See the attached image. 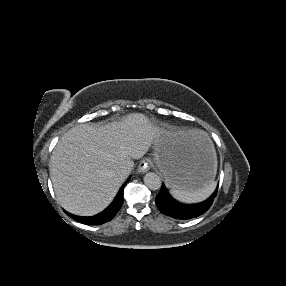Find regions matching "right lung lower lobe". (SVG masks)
<instances>
[{"mask_svg":"<svg viewBox=\"0 0 286 286\" xmlns=\"http://www.w3.org/2000/svg\"><path fill=\"white\" fill-rule=\"evenodd\" d=\"M128 180L126 181V183L128 182ZM126 183L121 187L113 202L104 211L97 215H94L92 217H80L72 215L66 211L65 213L72 219L87 225H100L105 222H108L116 215V213L119 211L123 204V189Z\"/></svg>","mask_w":286,"mask_h":286,"instance_id":"right-lung-lower-lobe-1","label":"right lung lower lobe"}]
</instances>
